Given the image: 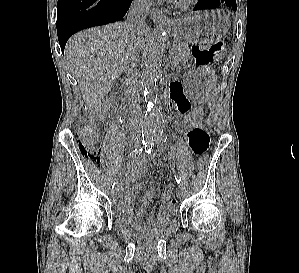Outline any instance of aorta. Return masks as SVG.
Segmentation results:
<instances>
[{
    "label": "aorta",
    "mask_w": 299,
    "mask_h": 273,
    "mask_svg": "<svg viewBox=\"0 0 299 273\" xmlns=\"http://www.w3.org/2000/svg\"><path fill=\"white\" fill-rule=\"evenodd\" d=\"M165 48L163 30H157L144 56V71L141 81L146 90L149 107L142 122V133L145 141H152L163 132V117L156 107L155 99L157 82L162 75V59Z\"/></svg>",
    "instance_id": "762f6f07"
}]
</instances>
